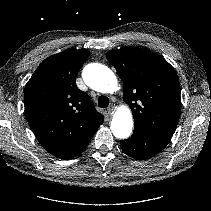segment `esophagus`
<instances>
[{
    "label": "esophagus",
    "mask_w": 211,
    "mask_h": 211,
    "mask_svg": "<svg viewBox=\"0 0 211 211\" xmlns=\"http://www.w3.org/2000/svg\"><path fill=\"white\" fill-rule=\"evenodd\" d=\"M115 109H116L115 106L111 105V106L107 109V113H108L109 115H112V114L114 113Z\"/></svg>",
    "instance_id": "1"
}]
</instances>
